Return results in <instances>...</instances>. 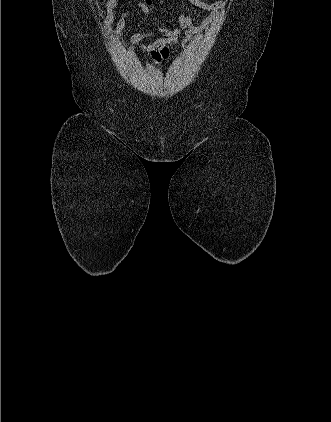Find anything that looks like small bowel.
I'll return each instance as SVG.
<instances>
[{
    "mask_svg": "<svg viewBox=\"0 0 331 422\" xmlns=\"http://www.w3.org/2000/svg\"><path fill=\"white\" fill-rule=\"evenodd\" d=\"M197 8L209 11V15L196 25L186 12H179L176 15L178 26H172L159 20L153 0L139 1L132 11L123 12L117 19L114 9L124 3V0H108L106 2L107 15L104 21V29L112 34L113 44L117 46H127L121 39L123 29L126 25V19L132 12H141L151 18L154 30L134 33L130 42L136 50L142 54H149L151 63L154 66L160 65L168 58L170 49L174 47L182 34L183 42H188L194 35L201 34L211 28L221 18L222 12L226 8L229 0H218L213 3H206L202 0H188ZM159 4L169 8L165 0H159ZM159 33L161 37L150 44H143L142 41L151 38Z\"/></svg>",
    "mask_w": 331,
    "mask_h": 422,
    "instance_id": "small-bowel-1",
    "label": "small bowel"
}]
</instances>
